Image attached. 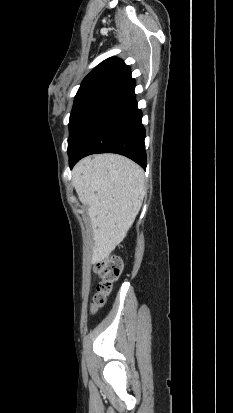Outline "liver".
<instances>
[{"instance_id":"obj_1","label":"liver","mask_w":233,"mask_h":413,"mask_svg":"<svg viewBox=\"0 0 233 413\" xmlns=\"http://www.w3.org/2000/svg\"><path fill=\"white\" fill-rule=\"evenodd\" d=\"M73 185L88 207L92 262H102L122 242L141 209L147 193L143 170L124 156L97 154L76 164Z\"/></svg>"}]
</instances>
